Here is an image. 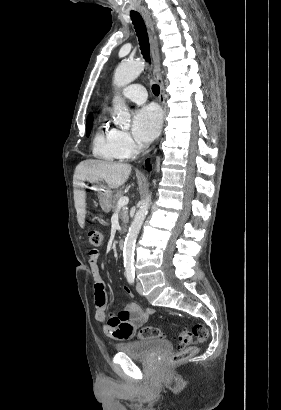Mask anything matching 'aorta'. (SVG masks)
Segmentation results:
<instances>
[{
	"mask_svg": "<svg viewBox=\"0 0 281 410\" xmlns=\"http://www.w3.org/2000/svg\"><path fill=\"white\" fill-rule=\"evenodd\" d=\"M144 63L141 61L121 63L114 72V85L123 87L134 81L144 70ZM114 123L120 126H127L130 122V114L127 106L119 97L114 99ZM151 202V193L141 202V206L129 227L123 247V262L127 274L134 273V250L137 236L146 218Z\"/></svg>",
	"mask_w": 281,
	"mask_h": 410,
	"instance_id": "762f6f07",
	"label": "aorta"
}]
</instances>
